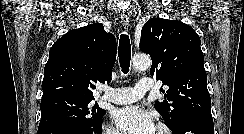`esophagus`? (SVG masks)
Listing matches in <instances>:
<instances>
[{"label":"esophagus","instance_id":"1","mask_svg":"<svg viewBox=\"0 0 244 134\" xmlns=\"http://www.w3.org/2000/svg\"><path fill=\"white\" fill-rule=\"evenodd\" d=\"M121 24L124 27L125 30L129 29L130 26V22H129V18L126 14H122L121 15Z\"/></svg>","mask_w":244,"mask_h":134}]
</instances>
